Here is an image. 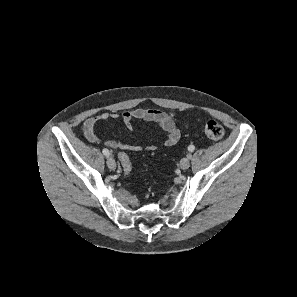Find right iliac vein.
Segmentation results:
<instances>
[{
    "mask_svg": "<svg viewBox=\"0 0 297 297\" xmlns=\"http://www.w3.org/2000/svg\"><path fill=\"white\" fill-rule=\"evenodd\" d=\"M107 166L109 169L111 170H115L116 168V162L112 157H108L107 158Z\"/></svg>",
    "mask_w": 297,
    "mask_h": 297,
    "instance_id": "63e3f726",
    "label": "right iliac vein"
}]
</instances>
